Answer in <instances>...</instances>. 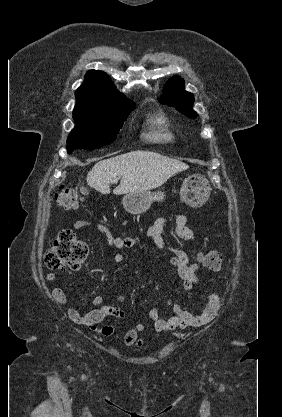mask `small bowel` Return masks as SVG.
Listing matches in <instances>:
<instances>
[{"label": "small bowel", "mask_w": 282, "mask_h": 417, "mask_svg": "<svg viewBox=\"0 0 282 417\" xmlns=\"http://www.w3.org/2000/svg\"><path fill=\"white\" fill-rule=\"evenodd\" d=\"M172 222L177 236L183 240L196 241L193 230L188 226L187 216L184 214H174L171 217H158L153 224L147 229L146 235L160 251H167L170 253L169 261L178 271V275L182 282L181 295L187 296L190 291L198 284L197 271L202 263V255L199 260L192 262L190 256L182 249L170 245L164 235V229L169 222ZM88 227H94L98 231L107 235V242L110 249L113 251V258L116 262H122L124 255L122 250L131 249L136 250L138 237L120 234L112 235L109 229L101 224H93L87 220H77L73 224L75 230H82ZM57 280V274L50 272L46 276L48 283H54ZM52 298L59 304L67 306L69 318L77 323L84 325L92 330L97 331L105 337L115 334L116 328L109 324L98 328L106 317H115L123 319L125 311L117 306H112L104 303L105 294H98L93 298L94 309L81 314L74 306H72L66 296L65 291L58 286L51 290ZM220 296L217 293H212L209 297L208 304L200 314H192L183 309L179 304L168 302L174 315L170 317H162L158 308L153 307L149 310L148 316L153 324L156 333H167L176 330H184L188 327H199L206 325L216 316L220 307ZM144 330L143 324H136L130 328L124 335L123 344L126 347H141L143 339L140 333Z\"/></svg>", "instance_id": "1"}]
</instances>
